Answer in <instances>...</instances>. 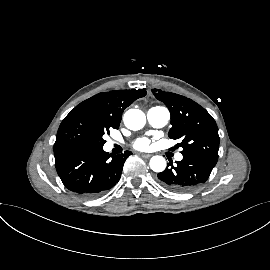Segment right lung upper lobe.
<instances>
[{
    "label": "right lung upper lobe",
    "instance_id": "cb5924a9",
    "mask_svg": "<svg viewBox=\"0 0 270 270\" xmlns=\"http://www.w3.org/2000/svg\"><path fill=\"white\" fill-rule=\"evenodd\" d=\"M145 95L144 89L103 92L83 101L76 107L89 111L91 117L104 126L118 129L124 109Z\"/></svg>",
    "mask_w": 270,
    "mask_h": 270
}]
</instances>
